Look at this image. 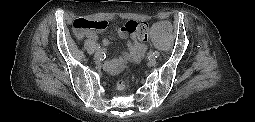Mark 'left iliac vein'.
<instances>
[{
	"mask_svg": "<svg viewBox=\"0 0 255 122\" xmlns=\"http://www.w3.org/2000/svg\"><path fill=\"white\" fill-rule=\"evenodd\" d=\"M157 63L156 59L155 58H151L149 61H148V65L149 66H155Z\"/></svg>",
	"mask_w": 255,
	"mask_h": 122,
	"instance_id": "obj_1",
	"label": "left iliac vein"
}]
</instances>
